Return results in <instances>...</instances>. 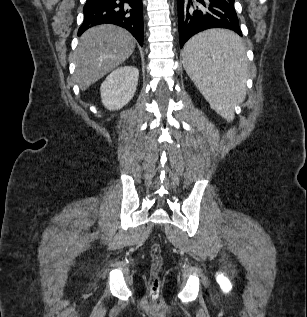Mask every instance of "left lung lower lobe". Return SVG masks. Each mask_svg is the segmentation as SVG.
Segmentation results:
<instances>
[{
	"label": "left lung lower lobe",
	"mask_w": 307,
	"mask_h": 317,
	"mask_svg": "<svg viewBox=\"0 0 307 317\" xmlns=\"http://www.w3.org/2000/svg\"><path fill=\"white\" fill-rule=\"evenodd\" d=\"M193 1L199 2L210 13L194 9ZM235 0H177L180 47L193 35L210 28H227L242 36L234 8ZM238 43H228L221 48L223 60L233 59L240 54Z\"/></svg>",
	"instance_id": "1"
}]
</instances>
